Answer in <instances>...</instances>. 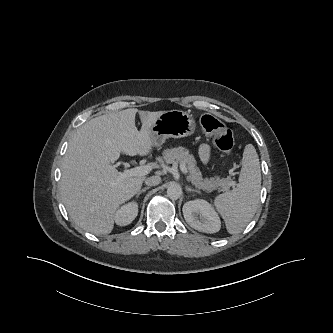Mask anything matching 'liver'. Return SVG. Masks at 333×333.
Wrapping results in <instances>:
<instances>
[{"label": "liver", "mask_w": 333, "mask_h": 333, "mask_svg": "<svg viewBox=\"0 0 333 333\" xmlns=\"http://www.w3.org/2000/svg\"><path fill=\"white\" fill-rule=\"evenodd\" d=\"M139 113L142 128L135 126ZM164 111L130 108L83 124L72 136L62 163L60 191L73 222L95 235L113 230L119 206L141 189L144 176L120 178V154L146 156L152 150L150 126Z\"/></svg>", "instance_id": "liver-1"}]
</instances>
